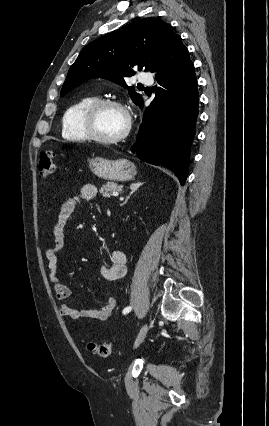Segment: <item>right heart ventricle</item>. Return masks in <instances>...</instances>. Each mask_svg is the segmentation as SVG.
Wrapping results in <instances>:
<instances>
[{"label":"right heart ventricle","mask_w":269,"mask_h":426,"mask_svg":"<svg viewBox=\"0 0 269 426\" xmlns=\"http://www.w3.org/2000/svg\"><path fill=\"white\" fill-rule=\"evenodd\" d=\"M95 100V96H84L65 110L62 118V135L64 138L73 141L89 139L83 128L82 117L86 108Z\"/></svg>","instance_id":"e07e8e85"}]
</instances>
